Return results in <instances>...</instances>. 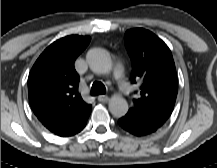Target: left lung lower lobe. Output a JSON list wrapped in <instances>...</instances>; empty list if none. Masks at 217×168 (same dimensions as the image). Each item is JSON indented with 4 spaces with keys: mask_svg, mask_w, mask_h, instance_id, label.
I'll return each mask as SVG.
<instances>
[{
    "mask_svg": "<svg viewBox=\"0 0 217 168\" xmlns=\"http://www.w3.org/2000/svg\"><path fill=\"white\" fill-rule=\"evenodd\" d=\"M118 124L127 132L132 135L141 137L152 134L156 132L160 126H155L147 123H143L137 121L130 117L129 115H125L124 117L118 120Z\"/></svg>",
    "mask_w": 217,
    "mask_h": 168,
    "instance_id": "0a47b994",
    "label": "left lung lower lobe"
}]
</instances>
